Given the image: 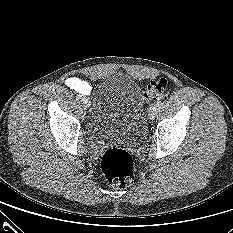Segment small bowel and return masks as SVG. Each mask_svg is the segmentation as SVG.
Listing matches in <instances>:
<instances>
[{"mask_svg":"<svg viewBox=\"0 0 233 233\" xmlns=\"http://www.w3.org/2000/svg\"><path fill=\"white\" fill-rule=\"evenodd\" d=\"M66 85L82 95H89L92 91V86L87 81L76 76L67 78Z\"/></svg>","mask_w":233,"mask_h":233,"instance_id":"obj_1","label":"small bowel"}]
</instances>
